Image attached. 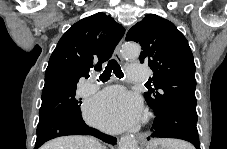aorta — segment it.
I'll return each mask as SVG.
<instances>
[{
    "label": "aorta",
    "mask_w": 227,
    "mask_h": 149,
    "mask_svg": "<svg viewBox=\"0 0 227 149\" xmlns=\"http://www.w3.org/2000/svg\"><path fill=\"white\" fill-rule=\"evenodd\" d=\"M140 55V47L136 44H127L122 50L125 59H137ZM119 149H138L137 142L133 136H124L119 142Z\"/></svg>",
    "instance_id": "762f6f07"
}]
</instances>
